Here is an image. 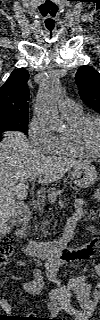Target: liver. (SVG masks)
Segmentation results:
<instances>
[{
    "mask_svg": "<svg viewBox=\"0 0 100 320\" xmlns=\"http://www.w3.org/2000/svg\"><path fill=\"white\" fill-rule=\"evenodd\" d=\"M83 162L45 156L30 145L22 132H7L0 143L1 227L19 213L16 199L23 200L27 195L25 180L39 177L41 184L52 183Z\"/></svg>",
    "mask_w": 100,
    "mask_h": 320,
    "instance_id": "liver-1",
    "label": "liver"
}]
</instances>
